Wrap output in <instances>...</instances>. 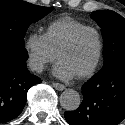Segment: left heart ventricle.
Here are the masks:
<instances>
[{"label":"left heart ventricle","instance_id":"left-heart-ventricle-1","mask_svg":"<svg viewBox=\"0 0 125 125\" xmlns=\"http://www.w3.org/2000/svg\"><path fill=\"white\" fill-rule=\"evenodd\" d=\"M98 51L96 34L87 31L79 36L73 46L60 56L62 61L77 76L85 72L94 62Z\"/></svg>","mask_w":125,"mask_h":125}]
</instances>
